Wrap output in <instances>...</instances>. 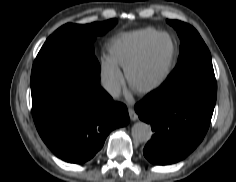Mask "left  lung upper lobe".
Wrapping results in <instances>:
<instances>
[{"label":"left lung upper lobe","mask_w":236,"mask_h":182,"mask_svg":"<svg viewBox=\"0 0 236 182\" xmlns=\"http://www.w3.org/2000/svg\"><path fill=\"white\" fill-rule=\"evenodd\" d=\"M180 38V54L177 64L154 93L172 98L179 95H192L216 101L217 84L211 54L196 29L191 25L167 20Z\"/></svg>","instance_id":"1"}]
</instances>
